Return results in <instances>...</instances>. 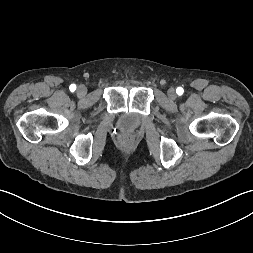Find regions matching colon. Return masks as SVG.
<instances>
[{"instance_id":"obj_1","label":"colon","mask_w":253,"mask_h":253,"mask_svg":"<svg viewBox=\"0 0 253 253\" xmlns=\"http://www.w3.org/2000/svg\"><path fill=\"white\" fill-rule=\"evenodd\" d=\"M131 141V138H127L126 142L129 143Z\"/></svg>"}]
</instances>
